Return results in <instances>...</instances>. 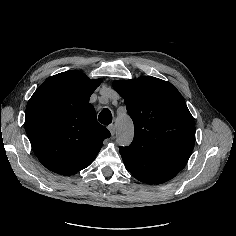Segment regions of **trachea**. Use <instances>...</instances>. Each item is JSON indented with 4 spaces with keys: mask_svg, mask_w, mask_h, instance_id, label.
Wrapping results in <instances>:
<instances>
[{
    "mask_svg": "<svg viewBox=\"0 0 236 236\" xmlns=\"http://www.w3.org/2000/svg\"><path fill=\"white\" fill-rule=\"evenodd\" d=\"M98 119H99V122L104 125L110 124L112 121V114H111L110 110L107 108L103 109L100 112Z\"/></svg>",
    "mask_w": 236,
    "mask_h": 236,
    "instance_id": "1",
    "label": "trachea"
}]
</instances>
